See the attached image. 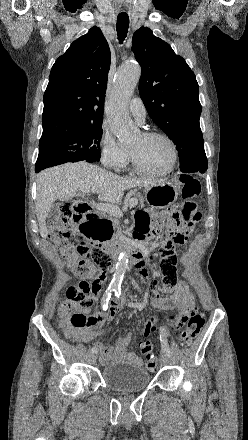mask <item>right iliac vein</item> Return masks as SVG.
Segmentation results:
<instances>
[{
	"label": "right iliac vein",
	"instance_id": "obj_1",
	"mask_svg": "<svg viewBox=\"0 0 248 440\" xmlns=\"http://www.w3.org/2000/svg\"><path fill=\"white\" fill-rule=\"evenodd\" d=\"M89 360H90L91 363H94L96 361V353L90 354Z\"/></svg>",
	"mask_w": 248,
	"mask_h": 440
}]
</instances>
